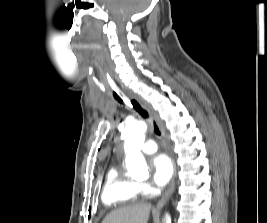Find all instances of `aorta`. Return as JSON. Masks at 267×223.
Listing matches in <instances>:
<instances>
[{
  "instance_id": "aorta-1",
  "label": "aorta",
  "mask_w": 267,
  "mask_h": 223,
  "mask_svg": "<svg viewBox=\"0 0 267 223\" xmlns=\"http://www.w3.org/2000/svg\"><path fill=\"white\" fill-rule=\"evenodd\" d=\"M146 130V123L141 121L128 124L124 131L125 163L129 175L133 177L148 173L146 161L141 153ZM162 223H171V217L168 213L162 219Z\"/></svg>"
}]
</instances>
